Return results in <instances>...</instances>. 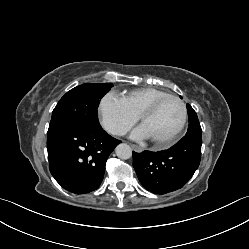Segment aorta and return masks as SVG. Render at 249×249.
Masks as SVG:
<instances>
[{
  "instance_id": "762f6f07",
  "label": "aorta",
  "mask_w": 249,
  "mask_h": 249,
  "mask_svg": "<svg viewBox=\"0 0 249 249\" xmlns=\"http://www.w3.org/2000/svg\"><path fill=\"white\" fill-rule=\"evenodd\" d=\"M116 155L120 159H129L132 157V149L128 144L121 143L115 149Z\"/></svg>"
}]
</instances>
